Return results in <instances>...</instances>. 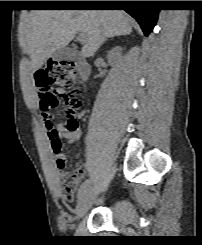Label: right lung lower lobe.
Segmentation results:
<instances>
[{
	"instance_id": "right-lung-lower-lobe-1",
	"label": "right lung lower lobe",
	"mask_w": 202,
	"mask_h": 245,
	"mask_svg": "<svg viewBox=\"0 0 202 245\" xmlns=\"http://www.w3.org/2000/svg\"><path fill=\"white\" fill-rule=\"evenodd\" d=\"M154 1H80L81 7H124V10L137 20L145 36L156 25L159 9Z\"/></svg>"
}]
</instances>
